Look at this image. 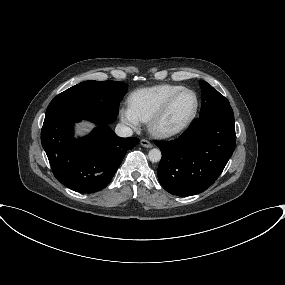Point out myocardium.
<instances>
[{"mask_svg": "<svg viewBox=\"0 0 285 285\" xmlns=\"http://www.w3.org/2000/svg\"><path fill=\"white\" fill-rule=\"evenodd\" d=\"M191 93L195 98V105L189 117L180 125L168 128L162 125L164 117L169 112L174 102L183 94ZM199 110V98L195 91L184 88L171 97H169L164 104L155 112V114L148 121V128L152 135L161 139L174 138L184 133L194 122Z\"/></svg>", "mask_w": 285, "mask_h": 285, "instance_id": "1", "label": "myocardium"}]
</instances>
